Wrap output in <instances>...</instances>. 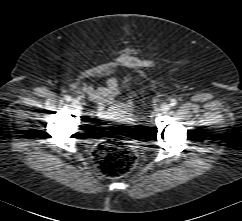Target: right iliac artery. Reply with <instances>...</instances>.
Wrapping results in <instances>:
<instances>
[{"instance_id": "82829eb1", "label": "right iliac artery", "mask_w": 242, "mask_h": 221, "mask_svg": "<svg viewBox=\"0 0 242 221\" xmlns=\"http://www.w3.org/2000/svg\"><path fill=\"white\" fill-rule=\"evenodd\" d=\"M64 99L67 101V102H70L72 99H71V97L69 96V95H66L65 97H64Z\"/></svg>"}]
</instances>
